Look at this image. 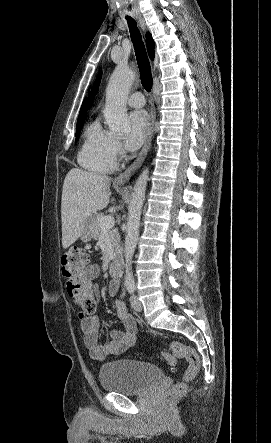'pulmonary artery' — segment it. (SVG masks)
I'll return each mask as SVG.
<instances>
[{
	"label": "pulmonary artery",
	"instance_id": "obj_1",
	"mask_svg": "<svg viewBox=\"0 0 271 443\" xmlns=\"http://www.w3.org/2000/svg\"><path fill=\"white\" fill-rule=\"evenodd\" d=\"M127 103L131 107L140 108L145 104V97L141 92H134L128 96Z\"/></svg>",
	"mask_w": 271,
	"mask_h": 443
}]
</instances>
